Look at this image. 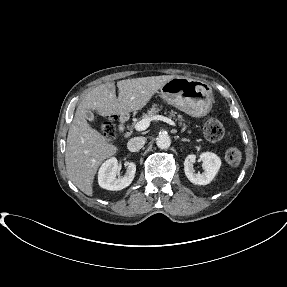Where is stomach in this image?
Here are the masks:
<instances>
[{
    "instance_id": "stomach-1",
    "label": "stomach",
    "mask_w": 287,
    "mask_h": 287,
    "mask_svg": "<svg viewBox=\"0 0 287 287\" xmlns=\"http://www.w3.org/2000/svg\"><path fill=\"white\" fill-rule=\"evenodd\" d=\"M158 94L169 104L194 117L205 116L212 108V89L200 80L177 76L165 83Z\"/></svg>"
}]
</instances>
